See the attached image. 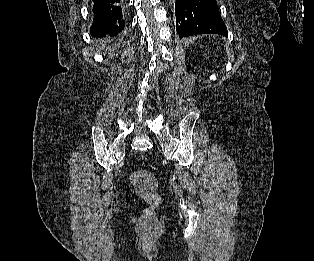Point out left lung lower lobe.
Listing matches in <instances>:
<instances>
[{"instance_id":"0a47b994","label":"left lung lower lobe","mask_w":314,"mask_h":261,"mask_svg":"<svg viewBox=\"0 0 314 261\" xmlns=\"http://www.w3.org/2000/svg\"><path fill=\"white\" fill-rule=\"evenodd\" d=\"M175 16L180 38L202 33L228 34L216 0H176Z\"/></svg>"}]
</instances>
